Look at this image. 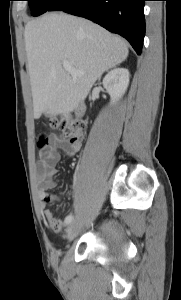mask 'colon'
<instances>
[{"label": "colon", "instance_id": "5ec220e1", "mask_svg": "<svg viewBox=\"0 0 181 300\" xmlns=\"http://www.w3.org/2000/svg\"><path fill=\"white\" fill-rule=\"evenodd\" d=\"M50 125L53 128H59L66 140L72 146H78L83 141L85 126L80 121L62 117L58 119H51ZM45 144H47V140L45 141L42 139L39 142V145Z\"/></svg>", "mask_w": 181, "mask_h": 300}]
</instances>
